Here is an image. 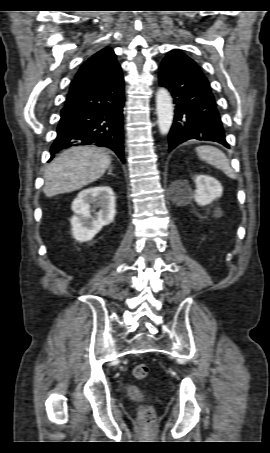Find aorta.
Segmentation results:
<instances>
[{
    "label": "aorta",
    "mask_w": 270,
    "mask_h": 453,
    "mask_svg": "<svg viewBox=\"0 0 270 453\" xmlns=\"http://www.w3.org/2000/svg\"><path fill=\"white\" fill-rule=\"evenodd\" d=\"M156 111L160 133L166 135L172 126L174 116L172 97L166 88H159L156 93Z\"/></svg>",
    "instance_id": "1"
}]
</instances>
